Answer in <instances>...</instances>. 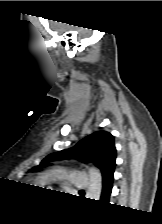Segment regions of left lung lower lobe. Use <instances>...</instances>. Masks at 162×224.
<instances>
[{
	"label": "left lung lower lobe",
	"instance_id": "left-lung-lower-lobe-1",
	"mask_svg": "<svg viewBox=\"0 0 162 224\" xmlns=\"http://www.w3.org/2000/svg\"><path fill=\"white\" fill-rule=\"evenodd\" d=\"M113 174H114V171L111 172L106 178L103 179L102 194L100 199V201L103 203H108V200L112 191Z\"/></svg>",
	"mask_w": 162,
	"mask_h": 224
}]
</instances>
